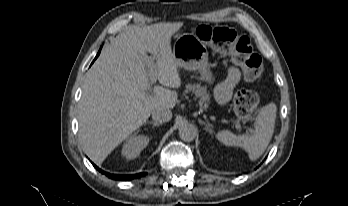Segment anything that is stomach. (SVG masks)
<instances>
[{"label":"stomach","instance_id":"obj_1","mask_svg":"<svg viewBox=\"0 0 348 206\" xmlns=\"http://www.w3.org/2000/svg\"><path fill=\"white\" fill-rule=\"evenodd\" d=\"M172 53L178 67L198 70L202 81L208 84L213 82V74L208 62V50L194 34L178 35Z\"/></svg>","mask_w":348,"mask_h":206}]
</instances>
